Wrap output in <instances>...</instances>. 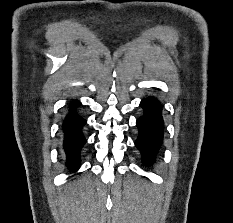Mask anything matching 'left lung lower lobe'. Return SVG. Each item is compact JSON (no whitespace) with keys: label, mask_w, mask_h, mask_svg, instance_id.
I'll return each mask as SVG.
<instances>
[{"label":"left lung lower lobe","mask_w":233,"mask_h":223,"mask_svg":"<svg viewBox=\"0 0 233 223\" xmlns=\"http://www.w3.org/2000/svg\"><path fill=\"white\" fill-rule=\"evenodd\" d=\"M140 106L144 109V115L137 120L140 134L135 144L142 153L144 163L151 164L163 140L161 104L155 98L148 97L141 101Z\"/></svg>","instance_id":"0a47b994"}]
</instances>
